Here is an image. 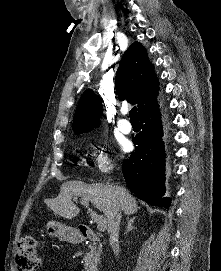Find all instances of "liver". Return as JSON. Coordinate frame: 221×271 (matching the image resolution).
<instances>
[{"label":"liver","instance_id":"1","mask_svg":"<svg viewBox=\"0 0 221 271\" xmlns=\"http://www.w3.org/2000/svg\"><path fill=\"white\" fill-rule=\"evenodd\" d=\"M73 195H81L83 201H91L97 209H100L107 217L106 227L110 233L111 225L117 209H122L126 215L136 213L138 203L135 197L130 195L128 189L119 187L114 183H82V181H66L61 191L54 199H46V203L52 211L62 217L72 219L78 215L80 207L72 201Z\"/></svg>","mask_w":221,"mask_h":271}]
</instances>
